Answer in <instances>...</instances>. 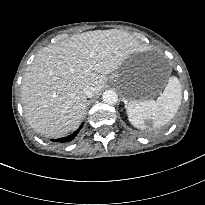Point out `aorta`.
Returning <instances> with one entry per match:
<instances>
[{
	"instance_id": "762f6f07",
	"label": "aorta",
	"mask_w": 205,
	"mask_h": 205,
	"mask_svg": "<svg viewBox=\"0 0 205 205\" xmlns=\"http://www.w3.org/2000/svg\"><path fill=\"white\" fill-rule=\"evenodd\" d=\"M102 99L104 103L114 105L118 101V95L113 90H106L105 92H103Z\"/></svg>"
}]
</instances>
